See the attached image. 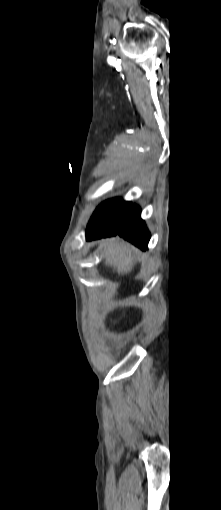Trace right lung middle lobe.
<instances>
[{
    "mask_svg": "<svg viewBox=\"0 0 221 510\" xmlns=\"http://www.w3.org/2000/svg\"><path fill=\"white\" fill-rule=\"evenodd\" d=\"M128 202L122 199H112L101 204L96 211L101 215L111 217L113 219L121 218L126 212Z\"/></svg>",
    "mask_w": 221,
    "mask_h": 510,
    "instance_id": "obj_1",
    "label": "right lung middle lobe"
}]
</instances>
